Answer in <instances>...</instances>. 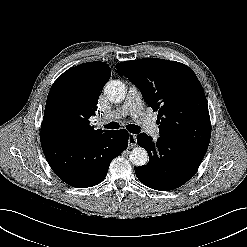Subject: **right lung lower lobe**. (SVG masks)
Here are the masks:
<instances>
[{"mask_svg":"<svg viewBox=\"0 0 247 247\" xmlns=\"http://www.w3.org/2000/svg\"><path fill=\"white\" fill-rule=\"evenodd\" d=\"M40 141L54 173L70 186L86 188L103 181L111 161L127 148L128 132L105 131L82 143L40 134Z\"/></svg>","mask_w":247,"mask_h":247,"instance_id":"1","label":"right lung lower lobe"}]
</instances>
